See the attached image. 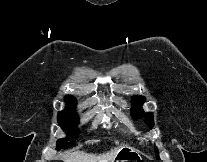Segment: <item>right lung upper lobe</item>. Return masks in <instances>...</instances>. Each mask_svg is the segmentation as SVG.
I'll use <instances>...</instances> for the list:
<instances>
[{
	"instance_id": "1",
	"label": "right lung upper lobe",
	"mask_w": 207,
	"mask_h": 162,
	"mask_svg": "<svg viewBox=\"0 0 207 162\" xmlns=\"http://www.w3.org/2000/svg\"><path fill=\"white\" fill-rule=\"evenodd\" d=\"M66 99H75V98L72 96H66Z\"/></svg>"
}]
</instances>
